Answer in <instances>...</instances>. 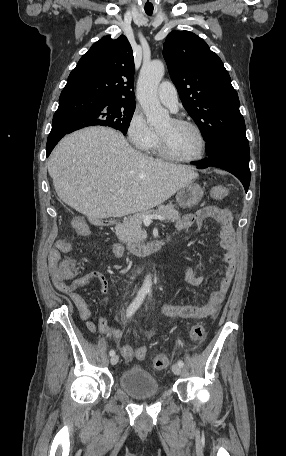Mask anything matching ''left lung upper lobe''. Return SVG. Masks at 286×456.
<instances>
[{
  "label": "left lung upper lobe",
  "instance_id": "5c2ea615",
  "mask_svg": "<svg viewBox=\"0 0 286 456\" xmlns=\"http://www.w3.org/2000/svg\"><path fill=\"white\" fill-rule=\"evenodd\" d=\"M163 56L183 106L206 140V152L225 142H248L237 92L207 43L192 32L172 31Z\"/></svg>",
  "mask_w": 286,
  "mask_h": 456
}]
</instances>
